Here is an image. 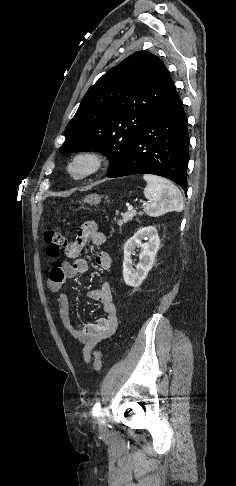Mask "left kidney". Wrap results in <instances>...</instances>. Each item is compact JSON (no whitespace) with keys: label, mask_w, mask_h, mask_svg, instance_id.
<instances>
[{"label":"left kidney","mask_w":236,"mask_h":486,"mask_svg":"<svg viewBox=\"0 0 236 486\" xmlns=\"http://www.w3.org/2000/svg\"><path fill=\"white\" fill-rule=\"evenodd\" d=\"M145 239L147 242L142 243ZM160 239L157 229L153 226L140 228L124 245L123 278L128 286L138 287L147 277L159 250ZM136 247H141L140 263L133 268L131 255Z\"/></svg>","instance_id":"obj_1"}]
</instances>
